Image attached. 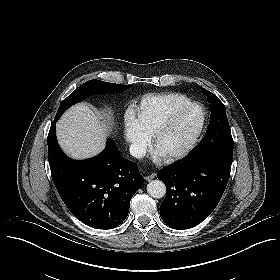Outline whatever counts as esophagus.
<instances>
[{"label":"esophagus","mask_w":280,"mask_h":280,"mask_svg":"<svg viewBox=\"0 0 280 280\" xmlns=\"http://www.w3.org/2000/svg\"><path fill=\"white\" fill-rule=\"evenodd\" d=\"M155 178V174L154 173H152V174H150V175H147V176H144V179L146 180V181H150V180H152V179H154Z\"/></svg>","instance_id":"obj_1"}]
</instances>
